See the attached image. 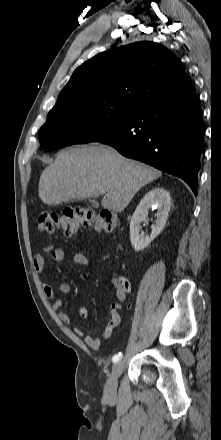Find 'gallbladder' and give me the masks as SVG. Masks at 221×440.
Wrapping results in <instances>:
<instances>
[{"mask_svg":"<svg viewBox=\"0 0 221 440\" xmlns=\"http://www.w3.org/2000/svg\"><path fill=\"white\" fill-rule=\"evenodd\" d=\"M94 206H98V203L95 200L91 201Z\"/></svg>","mask_w":221,"mask_h":440,"instance_id":"bac80fb5","label":"gallbladder"}]
</instances>
